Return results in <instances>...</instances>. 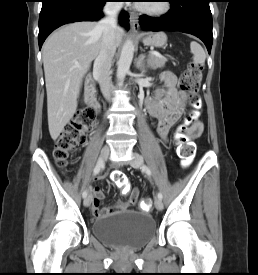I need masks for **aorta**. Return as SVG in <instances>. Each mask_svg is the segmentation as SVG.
I'll list each match as a JSON object with an SVG mask.
<instances>
[{
  "mask_svg": "<svg viewBox=\"0 0 258 275\" xmlns=\"http://www.w3.org/2000/svg\"><path fill=\"white\" fill-rule=\"evenodd\" d=\"M134 54V45L131 40H127L122 48L121 55L118 61L117 78L123 81L127 72L130 69Z\"/></svg>",
  "mask_w": 258,
  "mask_h": 275,
  "instance_id": "762f6f07",
  "label": "aorta"
}]
</instances>
